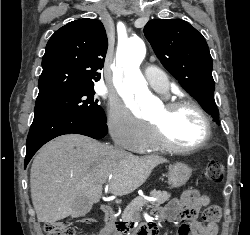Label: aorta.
<instances>
[{
  "label": "aorta",
  "instance_id": "1",
  "mask_svg": "<svg viewBox=\"0 0 250 235\" xmlns=\"http://www.w3.org/2000/svg\"><path fill=\"white\" fill-rule=\"evenodd\" d=\"M120 54L121 59L113 67L114 80L119 85L120 95L129 105L138 103L147 115L151 112L155 99L139 70L146 55L145 44L141 39L133 40L122 47Z\"/></svg>",
  "mask_w": 250,
  "mask_h": 235
}]
</instances>
